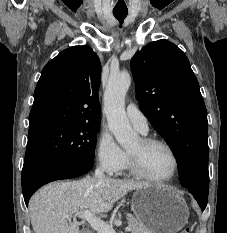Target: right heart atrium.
I'll return each mask as SVG.
<instances>
[{"label":"right heart atrium","mask_w":227,"mask_h":233,"mask_svg":"<svg viewBox=\"0 0 227 233\" xmlns=\"http://www.w3.org/2000/svg\"><path fill=\"white\" fill-rule=\"evenodd\" d=\"M95 156L100 167L108 174H119L125 167L127 154L117 144L107 128H101L95 143Z\"/></svg>","instance_id":"d8ad5b80"}]
</instances>
